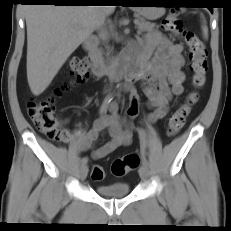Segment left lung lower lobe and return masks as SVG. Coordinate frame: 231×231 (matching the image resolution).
Returning a JSON list of instances; mask_svg holds the SVG:
<instances>
[{"instance_id":"obj_1","label":"left lung lower lobe","mask_w":231,"mask_h":231,"mask_svg":"<svg viewBox=\"0 0 231 231\" xmlns=\"http://www.w3.org/2000/svg\"><path fill=\"white\" fill-rule=\"evenodd\" d=\"M209 8V10L211 11V12H213V8L212 7H208Z\"/></svg>"}]
</instances>
